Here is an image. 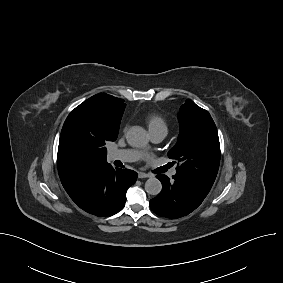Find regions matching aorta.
<instances>
[{"label":"aorta","mask_w":283,"mask_h":283,"mask_svg":"<svg viewBox=\"0 0 283 283\" xmlns=\"http://www.w3.org/2000/svg\"><path fill=\"white\" fill-rule=\"evenodd\" d=\"M126 139L133 147H144L148 143L147 132L140 126L131 127ZM145 190L150 195H158L162 190V184L157 178H149L145 183Z\"/></svg>","instance_id":"obj_1"}]
</instances>
